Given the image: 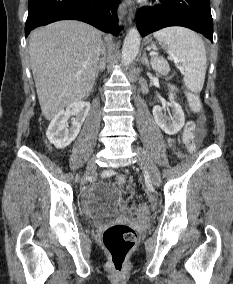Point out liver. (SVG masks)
Here are the masks:
<instances>
[{"label":"liver","instance_id":"1","mask_svg":"<svg viewBox=\"0 0 233 284\" xmlns=\"http://www.w3.org/2000/svg\"><path fill=\"white\" fill-rule=\"evenodd\" d=\"M101 49V32L79 21H58L31 33V69L47 120L88 97L95 83Z\"/></svg>","mask_w":233,"mask_h":284}]
</instances>
